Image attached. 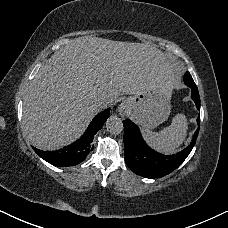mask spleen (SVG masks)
Masks as SVG:
<instances>
[{
    "label": "spleen",
    "instance_id": "spleen-1",
    "mask_svg": "<svg viewBox=\"0 0 228 228\" xmlns=\"http://www.w3.org/2000/svg\"><path fill=\"white\" fill-rule=\"evenodd\" d=\"M187 128V120L183 114L176 115L172 123L160 130L153 132L149 129H144V135L151 145L165 153L172 152L179 146L185 138Z\"/></svg>",
    "mask_w": 228,
    "mask_h": 228
}]
</instances>
